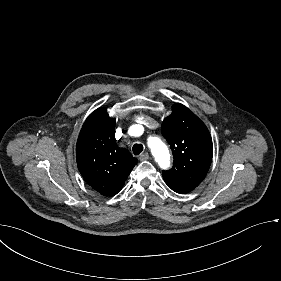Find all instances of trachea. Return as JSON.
Wrapping results in <instances>:
<instances>
[{
  "mask_svg": "<svg viewBox=\"0 0 281 281\" xmlns=\"http://www.w3.org/2000/svg\"><path fill=\"white\" fill-rule=\"evenodd\" d=\"M142 151H143V145L142 144H134L133 145L134 155H139Z\"/></svg>",
  "mask_w": 281,
  "mask_h": 281,
  "instance_id": "3493384b",
  "label": "trachea"
}]
</instances>
